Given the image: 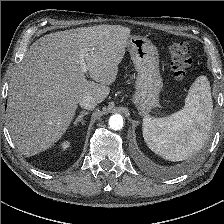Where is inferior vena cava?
<instances>
[{
	"label": "inferior vena cava",
	"instance_id": "1",
	"mask_svg": "<svg viewBox=\"0 0 224 224\" xmlns=\"http://www.w3.org/2000/svg\"><path fill=\"white\" fill-rule=\"evenodd\" d=\"M79 105L84 109H93L97 105V100L93 96H84L79 100Z\"/></svg>",
	"mask_w": 224,
	"mask_h": 224
}]
</instances>
